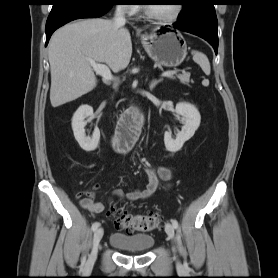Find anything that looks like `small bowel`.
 Here are the masks:
<instances>
[{
    "label": "small bowel",
    "instance_id": "small-bowel-1",
    "mask_svg": "<svg viewBox=\"0 0 278 278\" xmlns=\"http://www.w3.org/2000/svg\"><path fill=\"white\" fill-rule=\"evenodd\" d=\"M145 172L148 176V184L144 189L135 188L126 193L120 189H116L113 192V196L130 201L147 199L159 189L162 183H166L171 179V171L166 167H160L154 170L152 167L147 166L145 167ZM97 189L98 185H95L93 190L88 192L87 196L80 200L81 207L95 215L102 213L105 208L104 204L96 199L95 191Z\"/></svg>",
    "mask_w": 278,
    "mask_h": 278
}]
</instances>
